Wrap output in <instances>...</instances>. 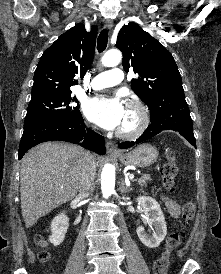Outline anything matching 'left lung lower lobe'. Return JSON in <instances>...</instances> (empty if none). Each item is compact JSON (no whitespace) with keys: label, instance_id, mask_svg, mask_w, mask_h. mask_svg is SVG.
<instances>
[{"label":"left lung lower lobe","instance_id":"1","mask_svg":"<svg viewBox=\"0 0 221 274\" xmlns=\"http://www.w3.org/2000/svg\"><path fill=\"white\" fill-rule=\"evenodd\" d=\"M163 130H174L185 137L194 147L196 140L193 134L192 119L185 101L179 102L170 108L159 110L151 115V124L136 142H123L119 148L126 149L152 138Z\"/></svg>","mask_w":221,"mask_h":274}]
</instances>
